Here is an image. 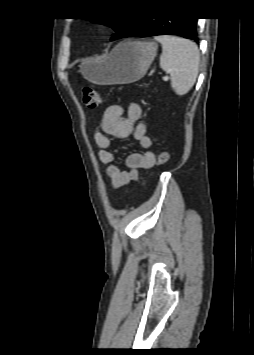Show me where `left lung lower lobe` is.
Wrapping results in <instances>:
<instances>
[{"mask_svg":"<svg viewBox=\"0 0 254 355\" xmlns=\"http://www.w3.org/2000/svg\"><path fill=\"white\" fill-rule=\"evenodd\" d=\"M178 35L198 42L197 18H136L123 37Z\"/></svg>","mask_w":254,"mask_h":355,"instance_id":"0a47b994","label":"left lung lower lobe"}]
</instances>
